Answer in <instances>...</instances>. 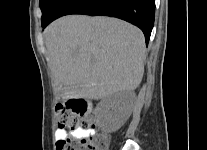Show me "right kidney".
<instances>
[{
	"label": "right kidney",
	"mask_w": 207,
	"mask_h": 150,
	"mask_svg": "<svg viewBox=\"0 0 207 150\" xmlns=\"http://www.w3.org/2000/svg\"><path fill=\"white\" fill-rule=\"evenodd\" d=\"M133 94L121 91L102 99L96 107V118L106 132L117 131L131 113Z\"/></svg>",
	"instance_id": "1"
}]
</instances>
